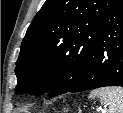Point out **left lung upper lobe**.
<instances>
[{
  "label": "left lung upper lobe",
  "instance_id": "1",
  "mask_svg": "<svg viewBox=\"0 0 123 113\" xmlns=\"http://www.w3.org/2000/svg\"><path fill=\"white\" fill-rule=\"evenodd\" d=\"M116 1L46 0L21 44L15 91L54 97L73 88Z\"/></svg>",
  "mask_w": 123,
  "mask_h": 113
}]
</instances>
